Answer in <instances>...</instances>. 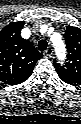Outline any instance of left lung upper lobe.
<instances>
[{"instance_id": "obj_1", "label": "left lung upper lobe", "mask_w": 81, "mask_h": 124, "mask_svg": "<svg viewBox=\"0 0 81 124\" xmlns=\"http://www.w3.org/2000/svg\"><path fill=\"white\" fill-rule=\"evenodd\" d=\"M67 62L60 65L54 59L56 71L64 82L71 85L81 84V29L68 26L65 31Z\"/></svg>"}]
</instances>
